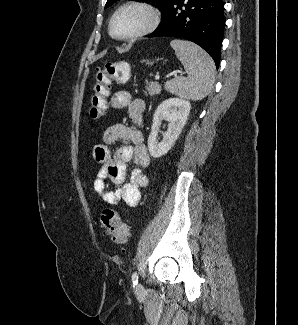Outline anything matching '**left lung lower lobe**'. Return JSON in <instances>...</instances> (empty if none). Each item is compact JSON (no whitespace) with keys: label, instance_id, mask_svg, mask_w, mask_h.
Segmentation results:
<instances>
[{"label":"left lung lower lobe","instance_id":"0a47b994","mask_svg":"<svg viewBox=\"0 0 298 325\" xmlns=\"http://www.w3.org/2000/svg\"><path fill=\"white\" fill-rule=\"evenodd\" d=\"M223 0H171L159 27L147 37H178L201 46L219 66L225 27Z\"/></svg>","mask_w":298,"mask_h":325}]
</instances>
